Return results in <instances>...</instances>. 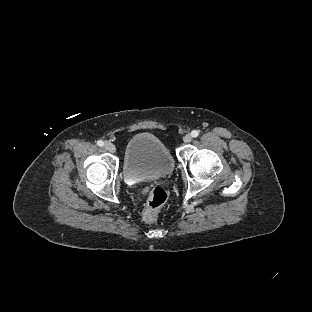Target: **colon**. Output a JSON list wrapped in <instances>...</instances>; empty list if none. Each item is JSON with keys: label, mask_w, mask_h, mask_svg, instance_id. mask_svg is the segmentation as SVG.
Masks as SVG:
<instances>
[{"label": "colon", "mask_w": 312, "mask_h": 312, "mask_svg": "<svg viewBox=\"0 0 312 312\" xmlns=\"http://www.w3.org/2000/svg\"><path fill=\"white\" fill-rule=\"evenodd\" d=\"M168 194L162 187H154L146 201L145 208L143 210V219L146 223L152 224L157 221L159 209L166 203Z\"/></svg>", "instance_id": "1"}]
</instances>
